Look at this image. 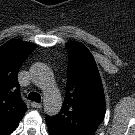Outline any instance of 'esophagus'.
<instances>
[{
	"label": "esophagus",
	"mask_w": 135,
	"mask_h": 135,
	"mask_svg": "<svg viewBox=\"0 0 135 135\" xmlns=\"http://www.w3.org/2000/svg\"><path fill=\"white\" fill-rule=\"evenodd\" d=\"M31 106H32L33 108H41V107H42V105H41L40 103H36V102H32V103H31Z\"/></svg>",
	"instance_id": "1"
}]
</instances>
